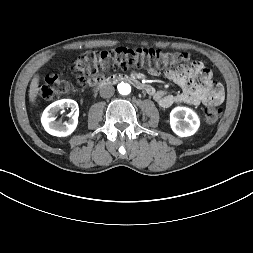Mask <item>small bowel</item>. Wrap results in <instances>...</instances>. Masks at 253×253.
I'll return each instance as SVG.
<instances>
[{
    "instance_id": "1",
    "label": "small bowel",
    "mask_w": 253,
    "mask_h": 253,
    "mask_svg": "<svg viewBox=\"0 0 253 253\" xmlns=\"http://www.w3.org/2000/svg\"><path fill=\"white\" fill-rule=\"evenodd\" d=\"M148 73L153 77L165 75L181 88L178 93L153 88L154 93L150 95L162 108L177 104H220L224 100L222 86L214 80L212 73L200 61L168 64L163 69L153 66L148 69Z\"/></svg>"
}]
</instances>
